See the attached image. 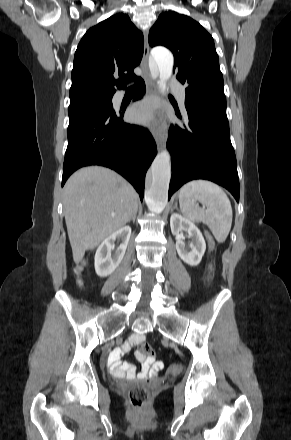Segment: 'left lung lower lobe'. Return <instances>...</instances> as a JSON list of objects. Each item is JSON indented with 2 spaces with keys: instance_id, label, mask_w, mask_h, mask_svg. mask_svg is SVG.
I'll use <instances>...</instances> for the list:
<instances>
[{
  "instance_id": "left-lung-lower-lobe-1",
  "label": "left lung lower lobe",
  "mask_w": 291,
  "mask_h": 440,
  "mask_svg": "<svg viewBox=\"0 0 291 440\" xmlns=\"http://www.w3.org/2000/svg\"><path fill=\"white\" fill-rule=\"evenodd\" d=\"M185 107L188 117L184 128L171 126L167 141L172 155L169 199L184 183L207 179L228 189L239 202L237 162L226 104L186 96Z\"/></svg>"
}]
</instances>
